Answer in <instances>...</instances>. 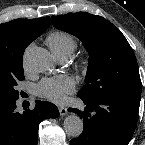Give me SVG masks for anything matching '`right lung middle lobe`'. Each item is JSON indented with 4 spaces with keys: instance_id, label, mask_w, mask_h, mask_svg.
Segmentation results:
<instances>
[{
    "instance_id": "obj_1",
    "label": "right lung middle lobe",
    "mask_w": 145,
    "mask_h": 145,
    "mask_svg": "<svg viewBox=\"0 0 145 145\" xmlns=\"http://www.w3.org/2000/svg\"><path fill=\"white\" fill-rule=\"evenodd\" d=\"M24 79L23 65L0 73V101H15L19 98L15 90L18 81Z\"/></svg>"
}]
</instances>
